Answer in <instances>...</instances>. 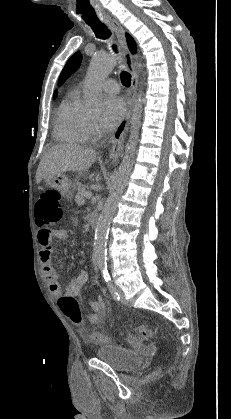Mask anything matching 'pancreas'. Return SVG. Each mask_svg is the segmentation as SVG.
<instances>
[{
	"instance_id": "cf45deb5",
	"label": "pancreas",
	"mask_w": 231,
	"mask_h": 419,
	"mask_svg": "<svg viewBox=\"0 0 231 419\" xmlns=\"http://www.w3.org/2000/svg\"><path fill=\"white\" fill-rule=\"evenodd\" d=\"M87 186L82 185L80 182L76 183L77 194L75 197V202L78 205H83L85 203V193L87 192Z\"/></svg>"
}]
</instances>
